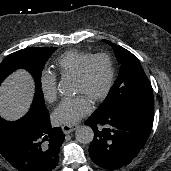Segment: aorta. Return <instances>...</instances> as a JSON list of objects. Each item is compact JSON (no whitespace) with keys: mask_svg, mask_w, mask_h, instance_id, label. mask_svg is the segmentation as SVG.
<instances>
[{"mask_svg":"<svg viewBox=\"0 0 171 171\" xmlns=\"http://www.w3.org/2000/svg\"><path fill=\"white\" fill-rule=\"evenodd\" d=\"M58 91L65 96H71L74 93V88L67 80H61L58 84ZM75 138L79 143L88 144L93 141L94 131L90 126H80L75 131Z\"/></svg>","mask_w":171,"mask_h":171,"instance_id":"aorta-1","label":"aorta"}]
</instances>
